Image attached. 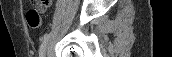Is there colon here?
Segmentation results:
<instances>
[{"label": "colon", "instance_id": "colon-1", "mask_svg": "<svg viewBox=\"0 0 172 57\" xmlns=\"http://www.w3.org/2000/svg\"><path fill=\"white\" fill-rule=\"evenodd\" d=\"M45 0H33L34 5H40ZM26 21L31 29H38L41 26V16L35 8H31L26 13Z\"/></svg>", "mask_w": 172, "mask_h": 57}]
</instances>
